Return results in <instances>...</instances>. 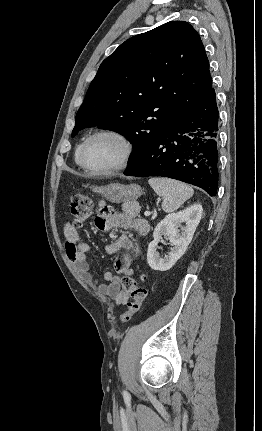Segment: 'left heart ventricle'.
<instances>
[{
    "label": "left heart ventricle",
    "instance_id": "left-heart-ventricle-1",
    "mask_svg": "<svg viewBox=\"0 0 262 431\" xmlns=\"http://www.w3.org/2000/svg\"><path fill=\"white\" fill-rule=\"evenodd\" d=\"M123 154L121 142L111 136L93 139L86 150L85 163L92 170L102 171L115 167Z\"/></svg>",
    "mask_w": 262,
    "mask_h": 431
}]
</instances>
